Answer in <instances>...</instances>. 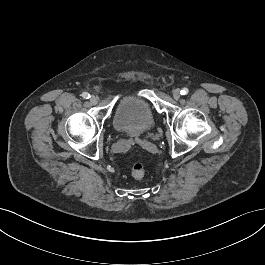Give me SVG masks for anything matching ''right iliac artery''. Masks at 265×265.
Segmentation results:
<instances>
[{
	"label": "right iliac artery",
	"mask_w": 265,
	"mask_h": 265,
	"mask_svg": "<svg viewBox=\"0 0 265 265\" xmlns=\"http://www.w3.org/2000/svg\"><path fill=\"white\" fill-rule=\"evenodd\" d=\"M82 97H83L84 99H89V98H90V94L87 93V92H83V93H82Z\"/></svg>",
	"instance_id": "obj_1"
}]
</instances>
